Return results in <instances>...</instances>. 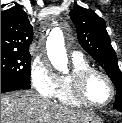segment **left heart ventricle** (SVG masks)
<instances>
[{
  "label": "left heart ventricle",
  "instance_id": "obj_1",
  "mask_svg": "<svg viewBox=\"0 0 122 123\" xmlns=\"http://www.w3.org/2000/svg\"><path fill=\"white\" fill-rule=\"evenodd\" d=\"M87 96L96 103L106 102L111 95V89L108 82L101 76H93L86 89Z\"/></svg>",
  "mask_w": 122,
  "mask_h": 123
}]
</instances>
